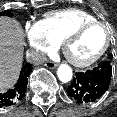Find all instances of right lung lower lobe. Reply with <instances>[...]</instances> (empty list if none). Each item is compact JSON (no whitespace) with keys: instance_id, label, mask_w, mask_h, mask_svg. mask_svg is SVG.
<instances>
[{"instance_id":"98d812e1","label":"right lung lower lobe","mask_w":117,"mask_h":117,"mask_svg":"<svg viewBox=\"0 0 117 117\" xmlns=\"http://www.w3.org/2000/svg\"><path fill=\"white\" fill-rule=\"evenodd\" d=\"M31 70L32 66L29 63L25 64L14 88L5 92H0V108L15 105L24 97Z\"/></svg>"}]
</instances>
